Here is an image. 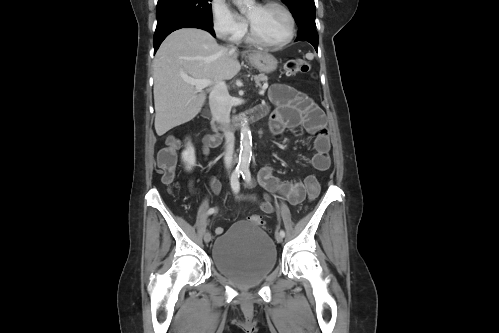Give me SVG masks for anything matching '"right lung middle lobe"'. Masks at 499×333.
Here are the masks:
<instances>
[{
  "mask_svg": "<svg viewBox=\"0 0 499 333\" xmlns=\"http://www.w3.org/2000/svg\"><path fill=\"white\" fill-rule=\"evenodd\" d=\"M211 1L158 0L157 28L174 21L182 20H197L213 24Z\"/></svg>",
  "mask_w": 499,
  "mask_h": 333,
  "instance_id": "right-lung-middle-lobe-1",
  "label": "right lung middle lobe"
}]
</instances>
